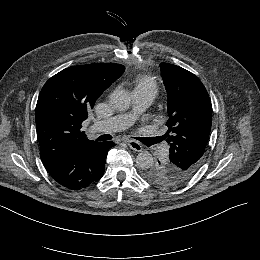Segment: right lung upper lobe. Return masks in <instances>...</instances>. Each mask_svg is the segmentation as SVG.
Wrapping results in <instances>:
<instances>
[{
  "instance_id": "cb5924a9",
  "label": "right lung upper lobe",
  "mask_w": 260,
  "mask_h": 260,
  "mask_svg": "<svg viewBox=\"0 0 260 260\" xmlns=\"http://www.w3.org/2000/svg\"><path fill=\"white\" fill-rule=\"evenodd\" d=\"M124 69L116 63L72 66L51 77L43 86L35 120L40 157L48 172L95 142L81 131L82 122Z\"/></svg>"
}]
</instances>
